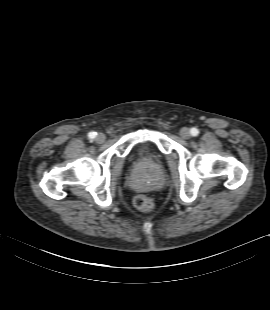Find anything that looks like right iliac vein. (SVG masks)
I'll return each instance as SVG.
<instances>
[{"label": "right iliac vein", "instance_id": "right-iliac-vein-1", "mask_svg": "<svg viewBox=\"0 0 270 310\" xmlns=\"http://www.w3.org/2000/svg\"><path fill=\"white\" fill-rule=\"evenodd\" d=\"M106 137L104 134L100 133L96 136L95 140L97 143H103L105 141Z\"/></svg>", "mask_w": 270, "mask_h": 310}]
</instances>
